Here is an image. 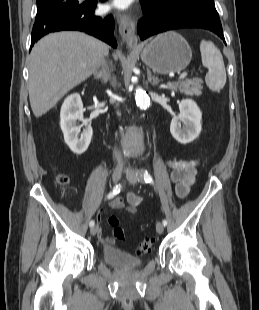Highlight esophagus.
Here are the masks:
<instances>
[{
    "mask_svg": "<svg viewBox=\"0 0 259 310\" xmlns=\"http://www.w3.org/2000/svg\"><path fill=\"white\" fill-rule=\"evenodd\" d=\"M119 33L130 48H137L138 39L135 33V22L126 14L116 13Z\"/></svg>",
    "mask_w": 259,
    "mask_h": 310,
    "instance_id": "1",
    "label": "esophagus"
}]
</instances>
